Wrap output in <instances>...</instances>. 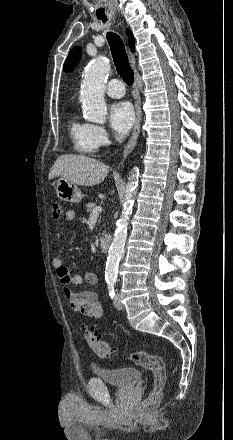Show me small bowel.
<instances>
[{
  "mask_svg": "<svg viewBox=\"0 0 233 440\" xmlns=\"http://www.w3.org/2000/svg\"><path fill=\"white\" fill-rule=\"evenodd\" d=\"M65 219L68 222L75 221L76 212L74 210L66 211ZM53 267L62 286L63 294L68 300L72 311L81 313L89 318L102 317V305L94 292L89 290L75 292L71 289L72 285H80L83 281L92 286L97 285L99 281L98 275L92 271H85L83 274L71 273L59 257L53 259Z\"/></svg>",
  "mask_w": 233,
  "mask_h": 440,
  "instance_id": "c3829d8e",
  "label": "small bowel"
}]
</instances>
